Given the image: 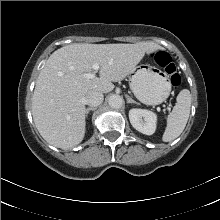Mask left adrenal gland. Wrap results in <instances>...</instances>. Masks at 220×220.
<instances>
[{
	"instance_id": "a2214340",
	"label": "left adrenal gland",
	"mask_w": 220,
	"mask_h": 220,
	"mask_svg": "<svg viewBox=\"0 0 220 220\" xmlns=\"http://www.w3.org/2000/svg\"><path fill=\"white\" fill-rule=\"evenodd\" d=\"M126 98H127V103H134V104L139 105V103L134 101L130 96L126 95Z\"/></svg>"
}]
</instances>
